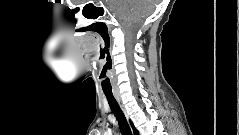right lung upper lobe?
I'll list each match as a JSON object with an SVG mask.
<instances>
[{
  "instance_id": "right-lung-upper-lobe-1",
  "label": "right lung upper lobe",
  "mask_w": 239,
  "mask_h": 135,
  "mask_svg": "<svg viewBox=\"0 0 239 135\" xmlns=\"http://www.w3.org/2000/svg\"><path fill=\"white\" fill-rule=\"evenodd\" d=\"M131 126H132V128H133V130H134V133L136 134V135H138L139 133H138V130L137 129H135V127L133 126V124L131 123Z\"/></svg>"
}]
</instances>
